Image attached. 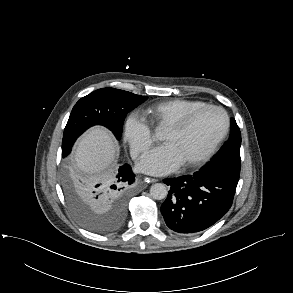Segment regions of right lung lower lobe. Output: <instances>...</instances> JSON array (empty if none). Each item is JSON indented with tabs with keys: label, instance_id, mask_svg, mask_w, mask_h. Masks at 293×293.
Masks as SVG:
<instances>
[{
	"label": "right lung lower lobe",
	"instance_id": "right-lung-lower-lobe-1",
	"mask_svg": "<svg viewBox=\"0 0 293 293\" xmlns=\"http://www.w3.org/2000/svg\"><path fill=\"white\" fill-rule=\"evenodd\" d=\"M134 176L130 165L125 164L102 181L81 183V198L87 207L110 218L122 220L119 226L108 232L118 229L126 217L127 191L135 180Z\"/></svg>",
	"mask_w": 293,
	"mask_h": 293
}]
</instances>
